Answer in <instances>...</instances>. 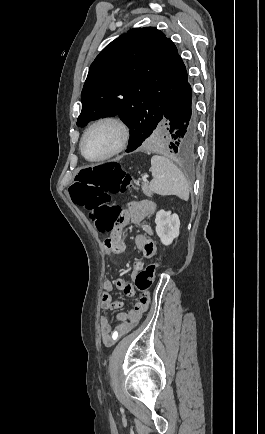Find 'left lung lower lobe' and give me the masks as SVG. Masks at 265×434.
<instances>
[{"label": "left lung lower lobe", "instance_id": "0a47b994", "mask_svg": "<svg viewBox=\"0 0 265 434\" xmlns=\"http://www.w3.org/2000/svg\"><path fill=\"white\" fill-rule=\"evenodd\" d=\"M165 131L166 146L173 152L190 155L196 148L198 130L192 110V89L188 78L172 98L160 118ZM155 128L137 130L130 134L126 152H132L152 134Z\"/></svg>", "mask_w": 265, "mask_h": 434}]
</instances>
